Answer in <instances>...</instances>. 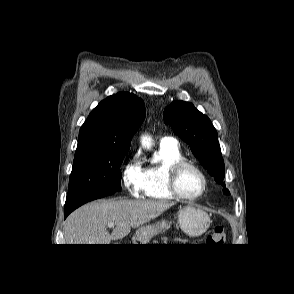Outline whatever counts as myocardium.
Instances as JSON below:
<instances>
[{"label": "myocardium", "mask_w": 294, "mask_h": 294, "mask_svg": "<svg viewBox=\"0 0 294 294\" xmlns=\"http://www.w3.org/2000/svg\"><path fill=\"white\" fill-rule=\"evenodd\" d=\"M185 168H191L195 172L199 174V176L202 179V189L201 191L194 196H187L184 195L178 187V178L180 173L182 172L183 169ZM208 186V180L206 177V174L203 172V170L193 161L187 160V159H180L175 161L174 163L171 164V166L168 169V178H167V187L171 194L183 201H196L199 198H201L204 193L206 192Z\"/></svg>", "instance_id": "myocardium-1"}]
</instances>
